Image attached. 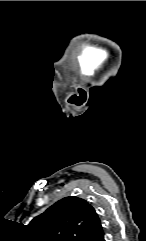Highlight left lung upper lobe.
<instances>
[{
	"label": "left lung upper lobe",
	"mask_w": 146,
	"mask_h": 241,
	"mask_svg": "<svg viewBox=\"0 0 146 241\" xmlns=\"http://www.w3.org/2000/svg\"><path fill=\"white\" fill-rule=\"evenodd\" d=\"M100 226L94 208L75 196L59 200L29 224L36 241H82Z\"/></svg>",
	"instance_id": "obj_1"
}]
</instances>
